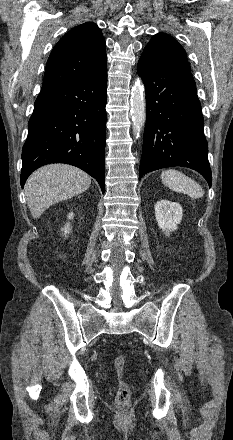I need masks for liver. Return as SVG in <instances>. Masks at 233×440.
<instances>
[{"instance_id": "obj_1", "label": "liver", "mask_w": 233, "mask_h": 440, "mask_svg": "<svg viewBox=\"0 0 233 440\" xmlns=\"http://www.w3.org/2000/svg\"><path fill=\"white\" fill-rule=\"evenodd\" d=\"M91 185V177L77 167L51 164L39 168L25 184V195L34 219L51 205L70 199Z\"/></svg>"}]
</instances>
